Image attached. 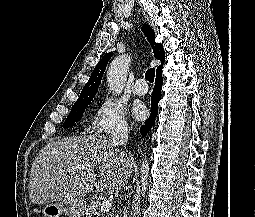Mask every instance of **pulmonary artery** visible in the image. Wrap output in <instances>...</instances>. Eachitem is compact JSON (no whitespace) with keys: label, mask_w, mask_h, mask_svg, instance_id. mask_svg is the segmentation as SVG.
<instances>
[{"label":"pulmonary artery","mask_w":255,"mask_h":217,"mask_svg":"<svg viewBox=\"0 0 255 217\" xmlns=\"http://www.w3.org/2000/svg\"><path fill=\"white\" fill-rule=\"evenodd\" d=\"M145 80L143 78H138L132 88L133 93L138 96H143L147 93L148 87L144 85Z\"/></svg>","instance_id":"e3ab8cb5"}]
</instances>
